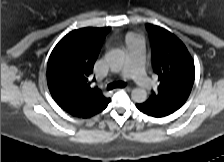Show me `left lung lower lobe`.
Wrapping results in <instances>:
<instances>
[{
  "label": "left lung lower lobe",
  "mask_w": 224,
  "mask_h": 162,
  "mask_svg": "<svg viewBox=\"0 0 224 162\" xmlns=\"http://www.w3.org/2000/svg\"><path fill=\"white\" fill-rule=\"evenodd\" d=\"M136 107L143 113L153 116V117H163L167 116L175 111L168 110V109H153V108H147L144 107L142 104H136Z\"/></svg>",
  "instance_id": "left-lung-lower-lobe-1"
}]
</instances>
